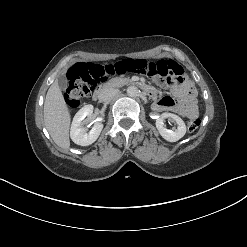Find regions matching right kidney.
Masks as SVG:
<instances>
[{"label": "right kidney", "mask_w": 247, "mask_h": 247, "mask_svg": "<svg viewBox=\"0 0 247 247\" xmlns=\"http://www.w3.org/2000/svg\"><path fill=\"white\" fill-rule=\"evenodd\" d=\"M92 113L93 105H85L75 114L70 130V137L75 144L88 146L94 143L99 137L103 129L101 122H95L90 131L82 126V121L86 117H91Z\"/></svg>", "instance_id": "right-kidney-1"}]
</instances>
